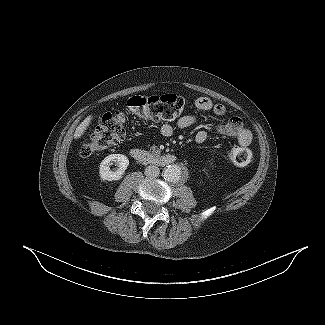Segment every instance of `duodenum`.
<instances>
[{"label": "duodenum", "mask_w": 325, "mask_h": 325, "mask_svg": "<svg viewBox=\"0 0 325 325\" xmlns=\"http://www.w3.org/2000/svg\"><path fill=\"white\" fill-rule=\"evenodd\" d=\"M130 152L137 161L150 165L167 166L176 161L172 154H154L141 147H133Z\"/></svg>", "instance_id": "duodenum-1"}]
</instances>
